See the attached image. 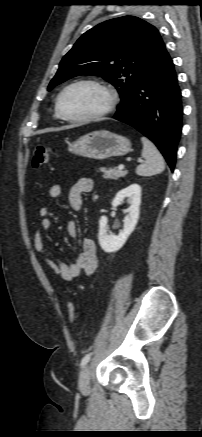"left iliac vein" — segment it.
Returning a JSON list of instances; mask_svg holds the SVG:
<instances>
[{
	"label": "left iliac vein",
	"instance_id": "obj_1",
	"mask_svg": "<svg viewBox=\"0 0 202 437\" xmlns=\"http://www.w3.org/2000/svg\"><path fill=\"white\" fill-rule=\"evenodd\" d=\"M79 389L83 392H88L90 390V370L89 366H85L79 376Z\"/></svg>",
	"mask_w": 202,
	"mask_h": 437
}]
</instances>
